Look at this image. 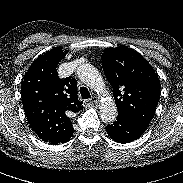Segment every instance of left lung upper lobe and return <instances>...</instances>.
Here are the masks:
<instances>
[{"mask_svg":"<svg viewBox=\"0 0 183 183\" xmlns=\"http://www.w3.org/2000/svg\"><path fill=\"white\" fill-rule=\"evenodd\" d=\"M102 67L113 87L118 116L149 124L161 88L158 75L149 62L135 50L120 46L104 50Z\"/></svg>","mask_w":183,"mask_h":183,"instance_id":"left-lung-upper-lobe-1","label":"left lung upper lobe"}]
</instances>
